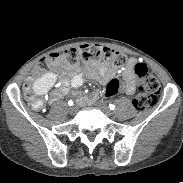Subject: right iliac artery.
Wrapping results in <instances>:
<instances>
[{"instance_id":"right-iliac-artery-1","label":"right iliac artery","mask_w":183,"mask_h":183,"mask_svg":"<svg viewBox=\"0 0 183 183\" xmlns=\"http://www.w3.org/2000/svg\"><path fill=\"white\" fill-rule=\"evenodd\" d=\"M68 105H69V106H72V105H73V101H72V100H69V101H68Z\"/></svg>"}]
</instances>
